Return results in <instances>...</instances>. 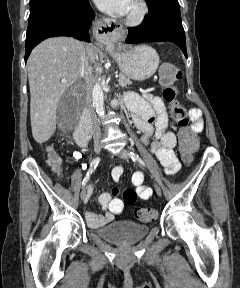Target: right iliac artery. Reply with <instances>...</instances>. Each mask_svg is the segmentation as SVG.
I'll return each instance as SVG.
<instances>
[{"instance_id": "right-iliac-artery-1", "label": "right iliac artery", "mask_w": 240, "mask_h": 288, "mask_svg": "<svg viewBox=\"0 0 240 288\" xmlns=\"http://www.w3.org/2000/svg\"><path fill=\"white\" fill-rule=\"evenodd\" d=\"M99 161H100V158H99V157H97V158H95V159L92 160V162H91V164H90V168H89V170H88L85 178H84L83 181H82V187H84V186L87 184V182H88V180H89V178H90V175H91L93 169H95V168L97 167ZM86 167H87L86 164H83V165H82V168H83V169H86Z\"/></svg>"}]
</instances>
